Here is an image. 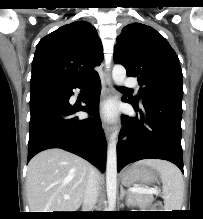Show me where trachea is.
I'll list each match as a JSON object with an SVG mask.
<instances>
[{
	"mask_svg": "<svg viewBox=\"0 0 203 219\" xmlns=\"http://www.w3.org/2000/svg\"><path fill=\"white\" fill-rule=\"evenodd\" d=\"M122 89H124V90H129V89L125 88V87H122Z\"/></svg>",
	"mask_w": 203,
	"mask_h": 219,
	"instance_id": "1",
	"label": "trachea"
}]
</instances>
